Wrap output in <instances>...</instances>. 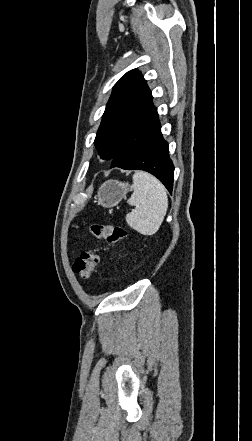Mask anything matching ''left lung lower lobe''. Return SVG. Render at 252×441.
I'll return each mask as SVG.
<instances>
[{
  "label": "left lung lower lobe",
  "mask_w": 252,
  "mask_h": 441,
  "mask_svg": "<svg viewBox=\"0 0 252 441\" xmlns=\"http://www.w3.org/2000/svg\"><path fill=\"white\" fill-rule=\"evenodd\" d=\"M152 99L151 95L147 105L129 128L111 160V167L147 171L172 193L174 166L169 158L168 143L161 134L157 109Z\"/></svg>",
  "instance_id": "obj_1"
}]
</instances>
